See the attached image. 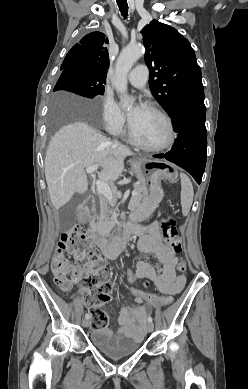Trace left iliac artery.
Segmentation results:
<instances>
[{"label": "left iliac artery", "instance_id": "obj_1", "mask_svg": "<svg viewBox=\"0 0 248 389\" xmlns=\"http://www.w3.org/2000/svg\"><path fill=\"white\" fill-rule=\"evenodd\" d=\"M148 322L152 323V317L148 318Z\"/></svg>", "mask_w": 248, "mask_h": 389}]
</instances>
